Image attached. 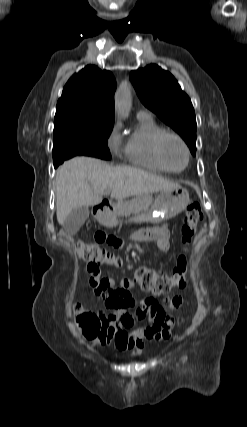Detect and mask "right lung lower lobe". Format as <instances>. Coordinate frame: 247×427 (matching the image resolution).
<instances>
[{
  "label": "right lung lower lobe",
  "instance_id": "1",
  "mask_svg": "<svg viewBox=\"0 0 247 427\" xmlns=\"http://www.w3.org/2000/svg\"><path fill=\"white\" fill-rule=\"evenodd\" d=\"M64 161H58V162H54V167L57 168L61 163H63Z\"/></svg>",
  "mask_w": 247,
  "mask_h": 427
}]
</instances>
